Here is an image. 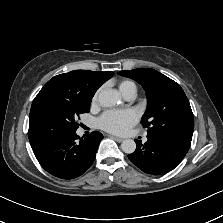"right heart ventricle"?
<instances>
[{
    "label": "right heart ventricle",
    "mask_w": 223,
    "mask_h": 223,
    "mask_svg": "<svg viewBox=\"0 0 223 223\" xmlns=\"http://www.w3.org/2000/svg\"><path fill=\"white\" fill-rule=\"evenodd\" d=\"M120 90L123 94H126L131 90L136 92V85L132 81L124 80L120 83Z\"/></svg>",
    "instance_id": "1"
}]
</instances>
